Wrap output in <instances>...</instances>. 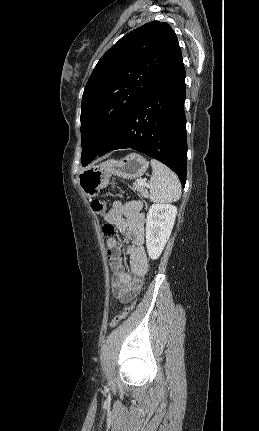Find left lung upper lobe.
<instances>
[{
  "label": "left lung upper lobe",
  "mask_w": 259,
  "mask_h": 431,
  "mask_svg": "<svg viewBox=\"0 0 259 431\" xmlns=\"http://www.w3.org/2000/svg\"><path fill=\"white\" fill-rule=\"evenodd\" d=\"M180 53L175 32L152 21L122 37L95 66L81 104V162L85 166L151 90Z\"/></svg>",
  "instance_id": "left-lung-upper-lobe-1"
}]
</instances>
